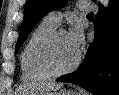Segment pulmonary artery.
<instances>
[{"label":"pulmonary artery","mask_w":119,"mask_h":95,"mask_svg":"<svg viewBox=\"0 0 119 95\" xmlns=\"http://www.w3.org/2000/svg\"><path fill=\"white\" fill-rule=\"evenodd\" d=\"M77 8L81 11H90L92 9V6L90 3L86 1H81L78 3ZM45 18L58 26L62 20V12L61 11L50 12Z\"/></svg>","instance_id":"pulmonary-artery-1"}]
</instances>
